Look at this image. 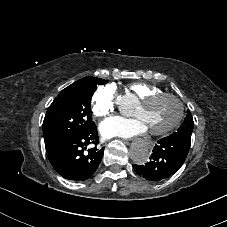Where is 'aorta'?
I'll return each mask as SVG.
<instances>
[{"label": "aorta", "mask_w": 227, "mask_h": 227, "mask_svg": "<svg viewBox=\"0 0 227 227\" xmlns=\"http://www.w3.org/2000/svg\"><path fill=\"white\" fill-rule=\"evenodd\" d=\"M130 157L135 164H145L149 158V147L145 142L135 143L130 150Z\"/></svg>", "instance_id": "762f6f07"}]
</instances>
